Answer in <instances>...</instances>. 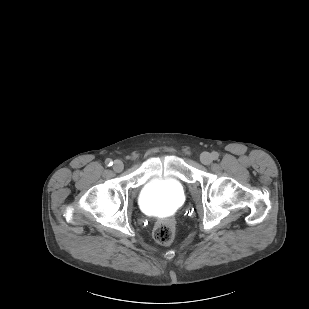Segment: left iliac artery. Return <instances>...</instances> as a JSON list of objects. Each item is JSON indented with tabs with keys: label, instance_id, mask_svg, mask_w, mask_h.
<instances>
[{
	"label": "left iliac artery",
	"instance_id": "left-iliac-artery-1",
	"mask_svg": "<svg viewBox=\"0 0 309 309\" xmlns=\"http://www.w3.org/2000/svg\"><path fill=\"white\" fill-rule=\"evenodd\" d=\"M218 157H219V154H218L217 152H212V158H213L214 160H217Z\"/></svg>",
	"mask_w": 309,
	"mask_h": 309
}]
</instances>
